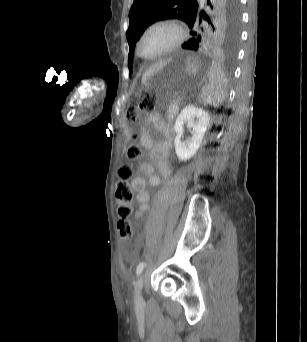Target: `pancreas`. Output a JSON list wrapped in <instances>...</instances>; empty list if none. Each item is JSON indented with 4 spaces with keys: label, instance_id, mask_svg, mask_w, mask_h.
Returning <instances> with one entry per match:
<instances>
[{
    "label": "pancreas",
    "instance_id": "1",
    "mask_svg": "<svg viewBox=\"0 0 307 342\" xmlns=\"http://www.w3.org/2000/svg\"><path fill=\"white\" fill-rule=\"evenodd\" d=\"M172 102L170 106L167 107L165 115L166 117H175L176 112L175 110L177 109V104H180L181 99L180 97H173Z\"/></svg>",
    "mask_w": 307,
    "mask_h": 342
}]
</instances>
